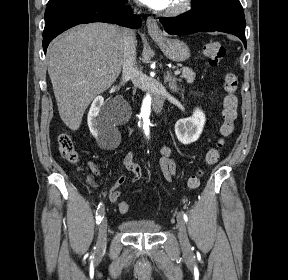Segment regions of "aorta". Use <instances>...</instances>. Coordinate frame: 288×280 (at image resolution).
<instances>
[{
	"mask_svg": "<svg viewBox=\"0 0 288 280\" xmlns=\"http://www.w3.org/2000/svg\"><path fill=\"white\" fill-rule=\"evenodd\" d=\"M151 110V96L148 94L144 100L142 106H139L138 120H147V116H150ZM150 121H137V126H141L140 136H144V140H149L151 136Z\"/></svg>",
	"mask_w": 288,
	"mask_h": 280,
	"instance_id": "aorta-1",
	"label": "aorta"
}]
</instances>
